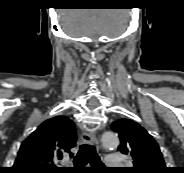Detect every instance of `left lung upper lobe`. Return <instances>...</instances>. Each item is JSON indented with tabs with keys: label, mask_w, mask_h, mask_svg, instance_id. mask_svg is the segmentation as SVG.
<instances>
[{
	"label": "left lung upper lobe",
	"mask_w": 184,
	"mask_h": 173,
	"mask_svg": "<svg viewBox=\"0 0 184 173\" xmlns=\"http://www.w3.org/2000/svg\"><path fill=\"white\" fill-rule=\"evenodd\" d=\"M111 129L119 134L118 150L133 160L134 167L123 168V173H167L157 142L138 123L120 119L112 123Z\"/></svg>",
	"instance_id": "5c2ea615"
}]
</instances>
